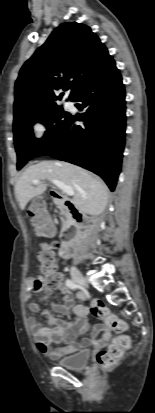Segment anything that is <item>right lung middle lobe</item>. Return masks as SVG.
I'll return each instance as SVG.
<instances>
[{
    "mask_svg": "<svg viewBox=\"0 0 155 413\" xmlns=\"http://www.w3.org/2000/svg\"><path fill=\"white\" fill-rule=\"evenodd\" d=\"M70 117L62 107L56 106L40 114L13 123L15 149L17 152V169H21L27 161L40 156L59 136ZM41 122L47 128L42 139L34 137L32 126Z\"/></svg>",
    "mask_w": 155,
    "mask_h": 413,
    "instance_id": "1",
    "label": "right lung middle lobe"
}]
</instances>
